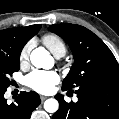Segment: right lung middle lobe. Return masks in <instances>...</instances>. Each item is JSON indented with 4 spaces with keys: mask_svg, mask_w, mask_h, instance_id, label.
<instances>
[{
    "mask_svg": "<svg viewBox=\"0 0 119 119\" xmlns=\"http://www.w3.org/2000/svg\"><path fill=\"white\" fill-rule=\"evenodd\" d=\"M19 57L0 55V89H7L12 84L10 77L19 70Z\"/></svg>",
    "mask_w": 119,
    "mask_h": 119,
    "instance_id": "dd1d6c3e",
    "label": "right lung middle lobe"
}]
</instances>
